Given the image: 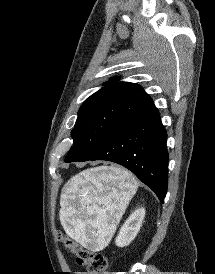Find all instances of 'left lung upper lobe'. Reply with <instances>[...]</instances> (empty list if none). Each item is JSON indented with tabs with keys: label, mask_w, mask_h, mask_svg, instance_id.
I'll return each mask as SVG.
<instances>
[{
	"label": "left lung upper lobe",
	"mask_w": 215,
	"mask_h": 274,
	"mask_svg": "<svg viewBox=\"0 0 215 274\" xmlns=\"http://www.w3.org/2000/svg\"><path fill=\"white\" fill-rule=\"evenodd\" d=\"M152 103L139 85L111 79L80 107L71 132L73 146L65 162L78 161L86 156L117 126Z\"/></svg>",
	"instance_id": "obj_1"
}]
</instances>
